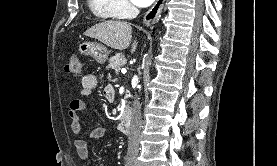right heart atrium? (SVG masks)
Returning <instances> with one entry per match:
<instances>
[{"label":"right heart atrium","instance_id":"right-heart-atrium-1","mask_svg":"<svg viewBox=\"0 0 277 166\" xmlns=\"http://www.w3.org/2000/svg\"><path fill=\"white\" fill-rule=\"evenodd\" d=\"M112 3L119 16L130 15L134 10L128 0H112Z\"/></svg>","mask_w":277,"mask_h":166}]
</instances>
